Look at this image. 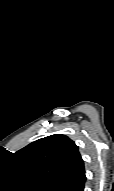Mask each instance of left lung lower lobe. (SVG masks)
Returning <instances> with one entry per match:
<instances>
[{
  "instance_id": "obj_1",
  "label": "left lung lower lobe",
  "mask_w": 114,
  "mask_h": 191,
  "mask_svg": "<svg viewBox=\"0 0 114 191\" xmlns=\"http://www.w3.org/2000/svg\"><path fill=\"white\" fill-rule=\"evenodd\" d=\"M85 170L75 179L67 191H83L85 183Z\"/></svg>"
}]
</instances>
